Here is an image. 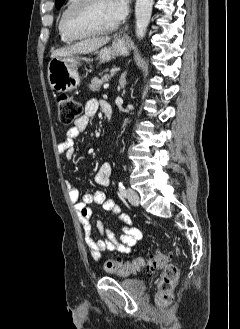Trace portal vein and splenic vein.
Here are the masks:
<instances>
[{"label":"portal vein and splenic vein","mask_w":240,"mask_h":329,"mask_svg":"<svg viewBox=\"0 0 240 329\" xmlns=\"http://www.w3.org/2000/svg\"><path fill=\"white\" fill-rule=\"evenodd\" d=\"M104 89H107L109 87V83L104 84Z\"/></svg>","instance_id":"18ae733b"}]
</instances>
